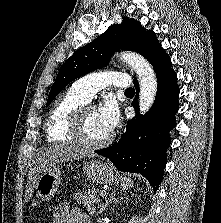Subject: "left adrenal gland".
<instances>
[{
    "label": "left adrenal gland",
    "instance_id": "a2214340",
    "mask_svg": "<svg viewBox=\"0 0 221 223\" xmlns=\"http://www.w3.org/2000/svg\"><path fill=\"white\" fill-rule=\"evenodd\" d=\"M115 196H116V192L115 191L111 192L108 199H106V201L100 206V209L97 212V215L101 214L110 204L119 201V199L116 198Z\"/></svg>",
    "mask_w": 221,
    "mask_h": 223
}]
</instances>
